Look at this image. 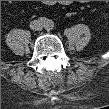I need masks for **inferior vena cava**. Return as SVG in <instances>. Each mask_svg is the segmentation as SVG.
Masks as SVG:
<instances>
[{"mask_svg":"<svg viewBox=\"0 0 109 109\" xmlns=\"http://www.w3.org/2000/svg\"><path fill=\"white\" fill-rule=\"evenodd\" d=\"M30 28L34 31H40L42 30L43 26L39 21L34 20L30 23Z\"/></svg>","mask_w":109,"mask_h":109,"instance_id":"602c4592","label":"inferior vena cava"}]
</instances>
